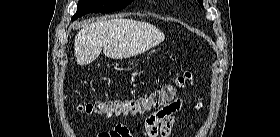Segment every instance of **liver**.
I'll return each mask as SVG.
<instances>
[{
  "label": "liver",
  "mask_w": 280,
  "mask_h": 137,
  "mask_svg": "<svg viewBox=\"0 0 280 137\" xmlns=\"http://www.w3.org/2000/svg\"><path fill=\"white\" fill-rule=\"evenodd\" d=\"M165 35L156 26L131 19H111L86 24L76 35L75 57L78 65L93 62L103 50L105 56L123 59L157 46Z\"/></svg>",
  "instance_id": "6515ba94"
}]
</instances>
